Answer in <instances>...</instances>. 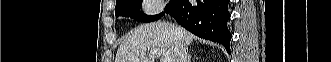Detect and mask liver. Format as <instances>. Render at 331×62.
<instances>
[{
	"label": "liver",
	"mask_w": 331,
	"mask_h": 62,
	"mask_svg": "<svg viewBox=\"0 0 331 62\" xmlns=\"http://www.w3.org/2000/svg\"><path fill=\"white\" fill-rule=\"evenodd\" d=\"M194 35L175 24L154 22L143 24L129 33L118 48L115 62H154L146 54L151 49L162 48L177 62L178 43H193Z\"/></svg>",
	"instance_id": "6515ba94"
}]
</instances>
